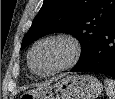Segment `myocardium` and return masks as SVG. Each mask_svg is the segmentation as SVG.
Wrapping results in <instances>:
<instances>
[{
	"instance_id": "obj_1",
	"label": "myocardium",
	"mask_w": 115,
	"mask_h": 99,
	"mask_svg": "<svg viewBox=\"0 0 115 99\" xmlns=\"http://www.w3.org/2000/svg\"><path fill=\"white\" fill-rule=\"evenodd\" d=\"M57 40L67 42L70 45L72 53H71L69 60L65 64L49 72H45V73L39 72L33 64V54L35 50L43 43H46L49 41H57ZM82 52H83L82 44L80 40L73 34L66 33V32L53 33V34L44 36L43 38L37 40L33 44V46L31 47L28 53V65H29L30 70L36 75L41 76V77H49L57 73H60L62 71H65L67 69H70L74 65H76L79 59L81 58Z\"/></svg>"
}]
</instances>
